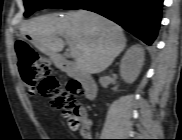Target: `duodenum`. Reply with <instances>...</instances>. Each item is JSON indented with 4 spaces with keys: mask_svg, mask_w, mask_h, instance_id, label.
<instances>
[{
    "mask_svg": "<svg viewBox=\"0 0 182 140\" xmlns=\"http://www.w3.org/2000/svg\"><path fill=\"white\" fill-rule=\"evenodd\" d=\"M54 55V53H52ZM57 67L80 80L84 87V95L88 100L95 98L97 85L94 79L87 73L79 70L68 55H62L55 61Z\"/></svg>",
    "mask_w": 182,
    "mask_h": 140,
    "instance_id": "410a0bca",
    "label": "duodenum"
}]
</instances>
